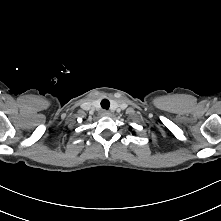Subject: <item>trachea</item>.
<instances>
[{"label":"trachea","instance_id":"obj_1","mask_svg":"<svg viewBox=\"0 0 221 221\" xmlns=\"http://www.w3.org/2000/svg\"><path fill=\"white\" fill-rule=\"evenodd\" d=\"M101 107H102L103 109L108 110L109 107H110V102H109V100L103 99V100L101 101Z\"/></svg>","mask_w":221,"mask_h":221}]
</instances>
